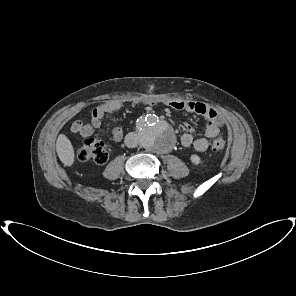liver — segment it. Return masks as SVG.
Masks as SVG:
<instances>
[{
	"instance_id": "6515ba94",
	"label": "liver",
	"mask_w": 296,
	"mask_h": 296,
	"mask_svg": "<svg viewBox=\"0 0 296 296\" xmlns=\"http://www.w3.org/2000/svg\"><path fill=\"white\" fill-rule=\"evenodd\" d=\"M56 151L64 166H72L75 158L74 148L71 141L64 134H60L57 138Z\"/></svg>"
}]
</instances>
